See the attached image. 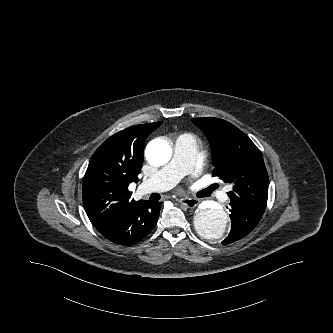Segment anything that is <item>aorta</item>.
<instances>
[{
	"label": "aorta",
	"instance_id": "obj_1",
	"mask_svg": "<svg viewBox=\"0 0 333 333\" xmlns=\"http://www.w3.org/2000/svg\"><path fill=\"white\" fill-rule=\"evenodd\" d=\"M146 158L151 165L162 166L172 156V148L166 141L156 139L148 143ZM197 232L207 239L218 241L228 234L230 221L224 208L215 203H202L194 217Z\"/></svg>",
	"mask_w": 333,
	"mask_h": 333
}]
</instances>
